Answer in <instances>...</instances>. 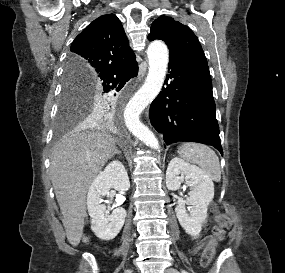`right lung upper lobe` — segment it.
Listing matches in <instances>:
<instances>
[{
    "label": "right lung upper lobe",
    "mask_w": 285,
    "mask_h": 273,
    "mask_svg": "<svg viewBox=\"0 0 285 273\" xmlns=\"http://www.w3.org/2000/svg\"><path fill=\"white\" fill-rule=\"evenodd\" d=\"M134 59L121 21L114 14H106L91 22L74 39L67 69L89 81L102 71Z\"/></svg>",
    "instance_id": "right-lung-upper-lobe-1"
}]
</instances>
